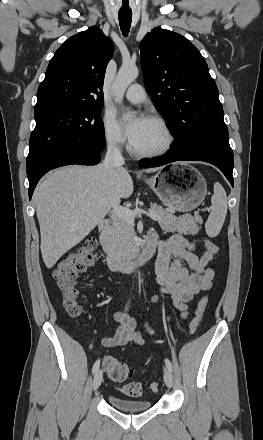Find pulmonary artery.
I'll return each mask as SVG.
<instances>
[{"instance_id": "1", "label": "pulmonary artery", "mask_w": 263, "mask_h": 440, "mask_svg": "<svg viewBox=\"0 0 263 440\" xmlns=\"http://www.w3.org/2000/svg\"><path fill=\"white\" fill-rule=\"evenodd\" d=\"M128 101L138 104L145 100L146 92L140 84H132L125 93Z\"/></svg>"}]
</instances>
